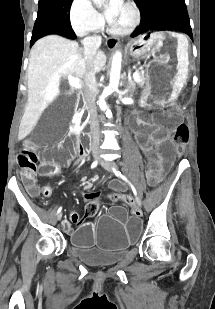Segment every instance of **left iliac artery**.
Wrapping results in <instances>:
<instances>
[{
    "label": "left iliac artery",
    "instance_id": "left-iliac-artery-1",
    "mask_svg": "<svg viewBox=\"0 0 215 309\" xmlns=\"http://www.w3.org/2000/svg\"><path fill=\"white\" fill-rule=\"evenodd\" d=\"M113 172L115 173V175H116L117 177H120V178H122L125 182H127V183L130 185V187H131V189H132L134 195L137 196V190H136V188L134 187V185L128 180V178H126L125 176H123V175L121 174V172H120V171H117L115 168H113Z\"/></svg>",
    "mask_w": 215,
    "mask_h": 309
}]
</instances>
